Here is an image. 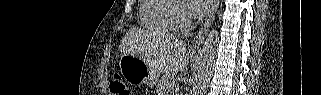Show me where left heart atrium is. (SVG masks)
Wrapping results in <instances>:
<instances>
[{"instance_id":"obj_1","label":"left heart atrium","mask_w":321,"mask_h":95,"mask_svg":"<svg viewBox=\"0 0 321 95\" xmlns=\"http://www.w3.org/2000/svg\"><path fill=\"white\" fill-rule=\"evenodd\" d=\"M189 2L191 3V5L188 7V9L186 7V13L188 15L197 17L207 12L214 1L213 0H189Z\"/></svg>"}]
</instances>
